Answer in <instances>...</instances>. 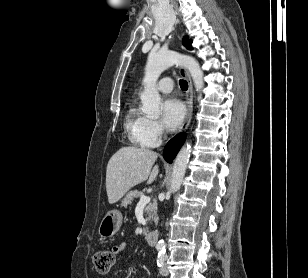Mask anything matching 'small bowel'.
I'll return each instance as SVG.
<instances>
[{
  "label": "small bowel",
  "mask_w": 308,
  "mask_h": 278,
  "mask_svg": "<svg viewBox=\"0 0 308 278\" xmlns=\"http://www.w3.org/2000/svg\"><path fill=\"white\" fill-rule=\"evenodd\" d=\"M127 244L124 241L119 242L118 244L114 245L111 248V251L113 252L114 255L121 254L126 250Z\"/></svg>",
  "instance_id": "1"
}]
</instances>
